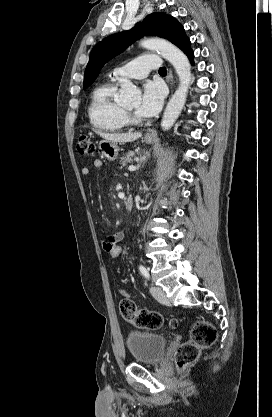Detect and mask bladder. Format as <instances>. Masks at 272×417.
Instances as JSON below:
<instances>
[{
  "label": "bladder",
  "mask_w": 272,
  "mask_h": 417,
  "mask_svg": "<svg viewBox=\"0 0 272 417\" xmlns=\"http://www.w3.org/2000/svg\"><path fill=\"white\" fill-rule=\"evenodd\" d=\"M126 346L135 362L157 363L164 356L167 339L156 333L132 331L126 338Z\"/></svg>",
  "instance_id": "1"
}]
</instances>
